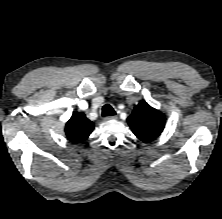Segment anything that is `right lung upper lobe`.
Wrapping results in <instances>:
<instances>
[{"mask_svg": "<svg viewBox=\"0 0 222 219\" xmlns=\"http://www.w3.org/2000/svg\"><path fill=\"white\" fill-rule=\"evenodd\" d=\"M94 129V123L82 112L73 113L72 117L66 123L65 133L73 143H80L86 140Z\"/></svg>", "mask_w": 222, "mask_h": 219, "instance_id": "obj_1", "label": "right lung upper lobe"}]
</instances>
